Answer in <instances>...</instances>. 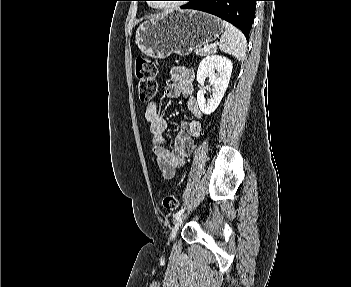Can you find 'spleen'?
<instances>
[{
	"instance_id": "obj_1",
	"label": "spleen",
	"mask_w": 351,
	"mask_h": 287,
	"mask_svg": "<svg viewBox=\"0 0 351 287\" xmlns=\"http://www.w3.org/2000/svg\"><path fill=\"white\" fill-rule=\"evenodd\" d=\"M225 32L221 36L219 49L229 55L235 57L238 61H242L246 56V39L243 33L226 21H222Z\"/></svg>"
}]
</instances>
